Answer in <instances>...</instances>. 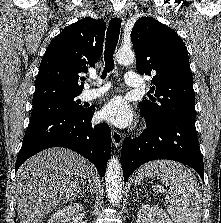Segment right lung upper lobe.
<instances>
[{"instance_id":"1","label":"right lung upper lobe","mask_w":221,"mask_h":223,"mask_svg":"<svg viewBox=\"0 0 221 223\" xmlns=\"http://www.w3.org/2000/svg\"><path fill=\"white\" fill-rule=\"evenodd\" d=\"M106 24L102 19H81L49 44L39 67L33 104L80 95L79 77L101 57Z\"/></svg>"}]
</instances>
